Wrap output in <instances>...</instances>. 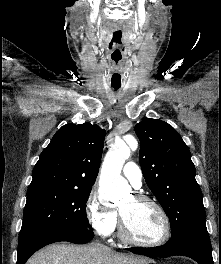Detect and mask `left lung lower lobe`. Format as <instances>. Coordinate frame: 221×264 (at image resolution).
<instances>
[{"mask_svg":"<svg viewBox=\"0 0 221 264\" xmlns=\"http://www.w3.org/2000/svg\"><path fill=\"white\" fill-rule=\"evenodd\" d=\"M132 253L150 257L187 256L198 264H214L211 242L205 230H186L172 235L163 246L152 248H129Z\"/></svg>","mask_w":221,"mask_h":264,"instance_id":"left-lung-lower-lobe-1","label":"left lung lower lobe"}]
</instances>
